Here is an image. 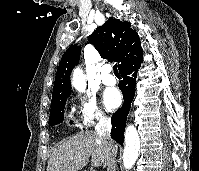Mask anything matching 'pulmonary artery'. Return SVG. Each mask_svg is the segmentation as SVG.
Listing matches in <instances>:
<instances>
[{
	"label": "pulmonary artery",
	"mask_w": 199,
	"mask_h": 171,
	"mask_svg": "<svg viewBox=\"0 0 199 171\" xmlns=\"http://www.w3.org/2000/svg\"><path fill=\"white\" fill-rule=\"evenodd\" d=\"M110 65H104L101 68V81L104 85L112 86L116 84V78L111 72Z\"/></svg>",
	"instance_id": "obj_1"
}]
</instances>
